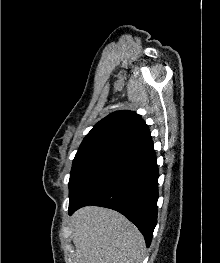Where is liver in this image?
Returning a JSON list of instances; mask_svg holds the SVG:
<instances>
[{
	"mask_svg": "<svg viewBox=\"0 0 220 263\" xmlns=\"http://www.w3.org/2000/svg\"><path fill=\"white\" fill-rule=\"evenodd\" d=\"M70 225L75 263H141L144 237L119 212L86 206L72 215Z\"/></svg>",
	"mask_w": 220,
	"mask_h": 263,
	"instance_id": "liver-1",
	"label": "liver"
}]
</instances>
